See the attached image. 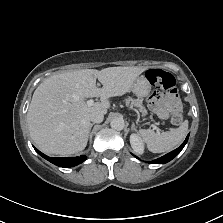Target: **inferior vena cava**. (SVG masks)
Segmentation results:
<instances>
[{
    "label": "inferior vena cava",
    "mask_w": 223,
    "mask_h": 223,
    "mask_svg": "<svg viewBox=\"0 0 223 223\" xmlns=\"http://www.w3.org/2000/svg\"><path fill=\"white\" fill-rule=\"evenodd\" d=\"M104 119V115L101 111H93L90 114V121L95 123H101Z\"/></svg>",
    "instance_id": "inferior-vena-cava-1"
}]
</instances>
